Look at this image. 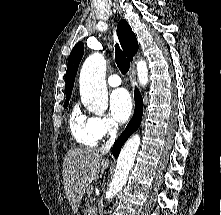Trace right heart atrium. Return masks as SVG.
Instances as JSON below:
<instances>
[{
    "instance_id": "obj_1",
    "label": "right heart atrium",
    "mask_w": 221,
    "mask_h": 215,
    "mask_svg": "<svg viewBox=\"0 0 221 215\" xmlns=\"http://www.w3.org/2000/svg\"><path fill=\"white\" fill-rule=\"evenodd\" d=\"M92 130L98 139L112 137L117 132V125L112 118L105 115H97L91 118Z\"/></svg>"
}]
</instances>
